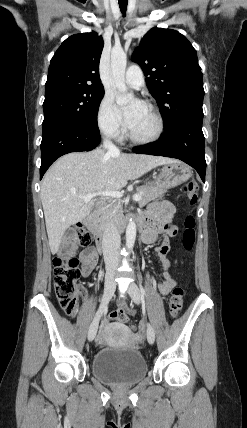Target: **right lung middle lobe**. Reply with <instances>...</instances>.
Wrapping results in <instances>:
<instances>
[{"instance_id":"dd1d6c3e","label":"right lung middle lobe","mask_w":247,"mask_h":428,"mask_svg":"<svg viewBox=\"0 0 247 428\" xmlns=\"http://www.w3.org/2000/svg\"><path fill=\"white\" fill-rule=\"evenodd\" d=\"M104 89L66 87L45 92L43 125L64 121L96 128Z\"/></svg>"}]
</instances>
